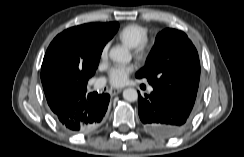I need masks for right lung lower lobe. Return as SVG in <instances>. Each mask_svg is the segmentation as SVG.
Returning <instances> with one entry per match:
<instances>
[{"label":"right lung lower lobe","instance_id":"obj_1","mask_svg":"<svg viewBox=\"0 0 244 157\" xmlns=\"http://www.w3.org/2000/svg\"><path fill=\"white\" fill-rule=\"evenodd\" d=\"M86 91H65L46 96L56 120L69 131L90 132L104 121L110 96L96 92L87 95Z\"/></svg>","mask_w":244,"mask_h":157}]
</instances>
